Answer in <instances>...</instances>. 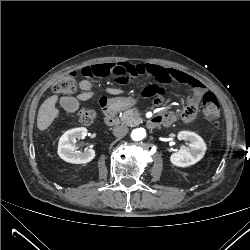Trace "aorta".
Here are the masks:
<instances>
[{
  "label": "aorta",
  "mask_w": 250,
  "mask_h": 250,
  "mask_svg": "<svg viewBox=\"0 0 250 250\" xmlns=\"http://www.w3.org/2000/svg\"><path fill=\"white\" fill-rule=\"evenodd\" d=\"M144 136H145V130L142 128L134 129L131 133V138L134 141H139V140L143 139Z\"/></svg>",
  "instance_id": "1"
}]
</instances>
